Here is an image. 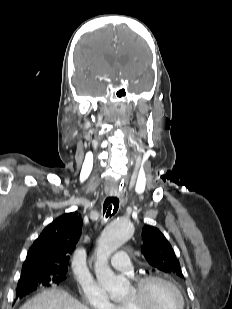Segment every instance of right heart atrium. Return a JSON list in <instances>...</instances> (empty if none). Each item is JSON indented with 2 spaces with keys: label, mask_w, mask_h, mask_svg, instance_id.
<instances>
[{
  "label": "right heart atrium",
  "mask_w": 232,
  "mask_h": 309,
  "mask_svg": "<svg viewBox=\"0 0 232 309\" xmlns=\"http://www.w3.org/2000/svg\"><path fill=\"white\" fill-rule=\"evenodd\" d=\"M82 296L86 305L92 309H116L106 292L96 284L83 285Z\"/></svg>",
  "instance_id": "right-heart-atrium-1"
}]
</instances>
